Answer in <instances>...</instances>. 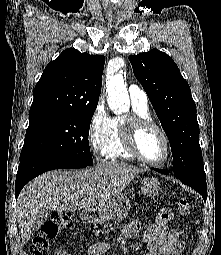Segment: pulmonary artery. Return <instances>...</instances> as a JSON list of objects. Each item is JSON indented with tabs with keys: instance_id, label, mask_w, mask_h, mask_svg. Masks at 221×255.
Listing matches in <instances>:
<instances>
[{
	"instance_id": "pulmonary-artery-1",
	"label": "pulmonary artery",
	"mask_w": 221,
	"mask_h": 255,
	"mask_svg": "<svg viewBox=\"0 0 221 255\" xmlns=\"http://www.w3.org/2000/svg\"><path fill=\"white\" fill-rule=\"evenodd\" d=\"M128 93H129L132 103L141 105V106H147V104H148L147 94L138 85L131 84L128 87Z\"/></svg>"
}]
</instances>
